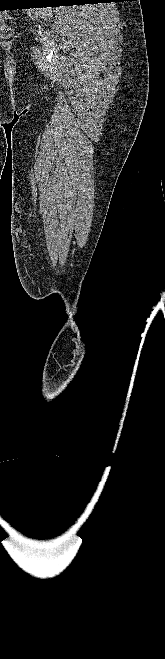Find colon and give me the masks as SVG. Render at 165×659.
<instances>
[{
    "label": "colon",
    "instance_id": "1",
    "mask_svg": "<svg viewBox=\"0 0 165 659\" xmlns=\"http://www.w3.org/2000/svg\"><path fill=\"white\" fill-rule=\"evenodd\" d=\"M13 35V29L0 17V38H9Z\"/></svg>",
    "mask_w": 165,
    "mask_h": 659
}]
</instances>
